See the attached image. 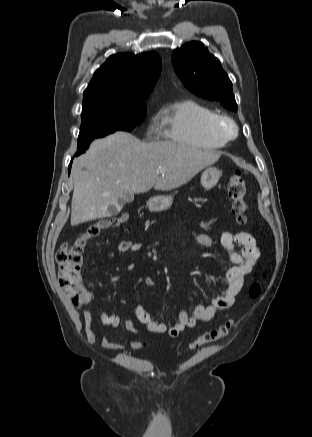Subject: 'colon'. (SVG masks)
I'll return each mask as SVG.
<instances>
[{
  "label": "colon",
  "mask_w": 312,
  "mask_h": 437,
  "mask_svg": "<svg viewBox=\"0 0 312 437\" xmlns=\"http://www.w3.org/2000/svg\"><path fill=\"white\" fill-rule=\"evenodd\" d=\"M227 189L232 202V212L237 223L243 225L247 222L248 205L245 201V180L240 171H236L230 177ZM123 220L124 217L100 221L90 226L85 233L65 242L57 252L59 283L70 305L74 308H80L89 301V293L81 276L82 251L86 242L97 236L101 231L117 225ZM261 291V284L255 282L249 288V295L255 299L260 296ZM231 327L232 322L228 321L217 329L205 332L191 347L198 348L216 342L226 337Z\"/></svg>",
  "instance_id": "colon-1"
}]
</instances>
